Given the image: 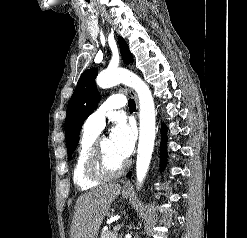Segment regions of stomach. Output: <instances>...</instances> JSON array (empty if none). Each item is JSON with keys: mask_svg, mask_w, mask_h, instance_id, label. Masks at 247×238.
I'll return each instance as SVG.
<instances>
[{"mask_svg": "<svg viewBox=\"0 0 247 238\" xmlns=\"http://www.w3.org/2000/svg\"><path fill=\"white\" fill-rule=\"evenodd\" d=\"M129 195H130V193H129L128 191H126V190H123V191H122V196H123L124 198H128Z\"/></svg>", "mask_w": 247, "mask_h": 238, "instance_id": "0dacf381", "label": "stomach"}]
</instances>
